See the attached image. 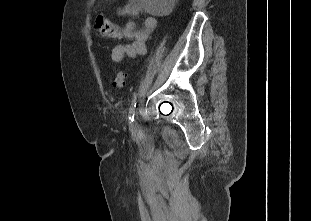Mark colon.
Wrapping results in <instances>:
<instances>
[{
  "mask_svg": "<svg viewBox=\"0 0 311 221\" xmlns=\"http://www.w3.org/2000/svg\"><path fill=\"white\" fill-rule=\"evenodd\" d=\"M96 29L99 32L100 35L109 38V39H115L117 38V26L114 22L107 18H100L97 21ZM127 80V74L125 72H118L112 81V85L115 88H122L125 86Z\"/></svg>",
  "mask_w": 311,
  "mask_h": 221,
  "instance_id": "colon-1",
  "label": "colon"
}]
</instances>
